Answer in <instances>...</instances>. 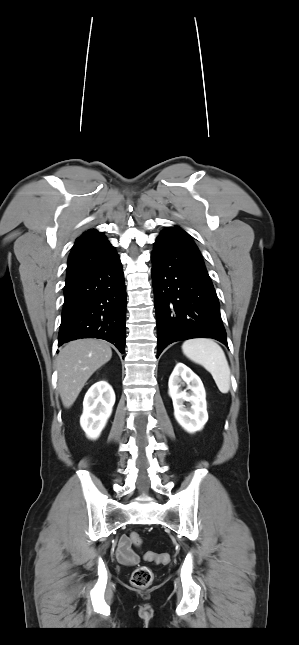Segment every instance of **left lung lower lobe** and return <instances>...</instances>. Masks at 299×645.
Instances as JSON below:
<instances>
[{"mask_svg":"<svg viewBox=\"0 0 299 645\" xmlns=\"http://www.w3.org/2000/svg\"><path fill=\"white\" fill-rule=\"evenodd\" d=\"M151 260L157 357L167 345L191 338H214L228 347L216 291L190 235L175 226L163 230Z\"/></svg>","mask_w":299,"mask_h":645,"instance_id":"left-lung-lower-lobe-1","label":"left lung lower lobe"}]
</instances>
